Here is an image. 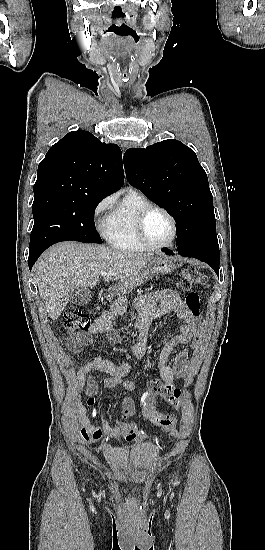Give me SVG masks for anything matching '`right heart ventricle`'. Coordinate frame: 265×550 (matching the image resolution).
Here are the masks:
<instances>
[{
	"label": "right heart ventricle",
	"mask_w": 265,
	"mask_h": 550,
	"mask_svg": "<svg viewBox=\"0 0 265 550\" xmlns=\"http://www.w3.org/2000/svg\"><path fill=\"white\" fill-rule=\"evenodd\" d=\"M150 200L135 189H128L104 222L108 243L121 252H141L145 248L136 233V220Z\"/></svg>",
	"instance_id": "e07e8e85"
}]
</instances>
